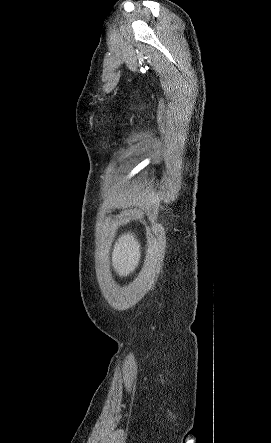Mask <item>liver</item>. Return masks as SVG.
I'll return each mask as SVG.
<instances>
[{
  "mask_svg": "<svg viewBox=\"0 0 271 443\" xmlns=\"http://www.w3.org/2000/svg\"><path fill=\"white\" fill-rule=\"evenodd\" d=\"M141 257V245L134 233H122L115 241L111 263L120 277H126L135 271Z\"/></svg>",
  "mask_w": 271,
  "mask_h": 443,
  "instance_id": "obj_1",
  "label": "liver"
}]
</instances>
